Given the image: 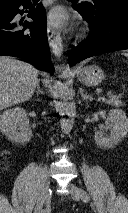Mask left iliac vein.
<instances>
[{
    "instance_id": "1",
    "label": "left iliac vein",
    "mask_w": 128,
    "mask_h": 213,
    "mask_svg": "<svg viewBox=\"0 0 128 213\" xmlns=\"http://www.w3.org/2000/svg\"><path fill=\"white\" fill-rule=\"evenodd\" d=\"M69 189H70V194H71L72 198L76 201H79L81 199V194H80L79 188L76 185L71 183L69 185Z\"/></svg>"
}]
</instances>
